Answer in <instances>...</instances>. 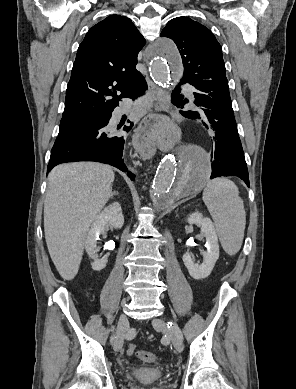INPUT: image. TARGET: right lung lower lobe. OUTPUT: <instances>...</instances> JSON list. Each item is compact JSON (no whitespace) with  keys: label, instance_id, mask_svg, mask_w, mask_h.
<instances>
[{"label":"right lung lower lobe","instance_id":"1","mask_svg":"<svg viewBox=\"0 0 296 389\" xmlns=\"http://www.w3.org/2000/svg\"><path fill=\"white\" fill-rule=\"evenodd\" d=\"M147 89V83L142 77L131 90L129 97L135 99ZM112 112L98 117L93 126L69 134L58 136L51 150L47 174L61 163L76 161H95L112 165L123 172L128 169L122 160L125 137L114 136L104 127L108 124ZM133 123L123 130L130 131ZM128 176L134 180V175L128 171Z\"/></svg>","mask_w":296,"mask_h":389}]
</instances>
